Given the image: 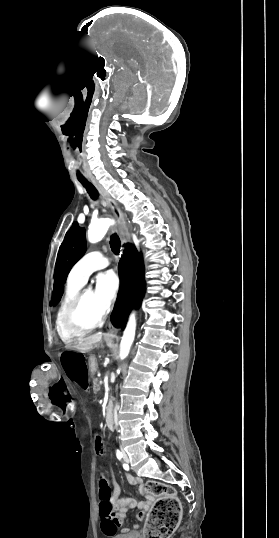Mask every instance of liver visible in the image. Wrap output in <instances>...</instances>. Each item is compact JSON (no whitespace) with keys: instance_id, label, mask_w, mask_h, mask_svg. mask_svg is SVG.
<instances>
[{"instance_id":"liver-1","label":"liver","mask_w":279,"mask_h":538,"mask_svg":"<svg viewBox=\"0 0 279 538\" xmlns=\"http://www.w3.org/2000/svg\"><path fill=\"white\" fill-rule=\"evenodd\" d=\"M102 340V334H94V336H90V338H86L80 346H76L77 350L79 352H82V354H85V352H89V350H92V348H95V344H98V342H101Z\"/></svg>"}]
</instances>
